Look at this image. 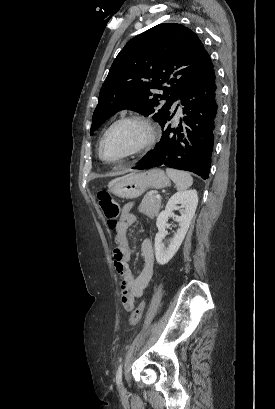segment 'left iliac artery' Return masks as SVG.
<instances>
[{
  "mask_svg": "<svg viewBox=\"0 0 275 409\" xmlns=\"http://www.w3.org/2000/svg\"><path fill=\"white\" fill-rule=\"evenodd\" d=\"M122 366H123V363L119 365L117 372H116V384L118 386L122 384Z\"/></svg>",
  "mask_w": 275,
  "mask_h": 409,
  "instance_id": "44dca946",
  "label": "left iliac artery"
}]
</instances>
